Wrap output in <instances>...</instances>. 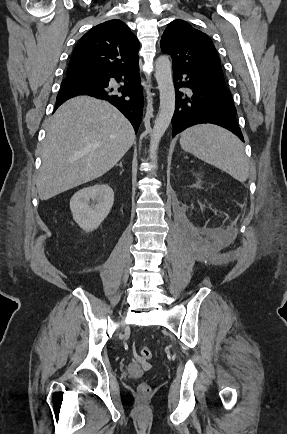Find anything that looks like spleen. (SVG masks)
<instances>
[{
  "instance_id": "obj_1",
  "label": "spleen",
  "mask_w": 287,
  "mask_h": 434,
  "mask_svg": "<svg viewBox=\"0 0 287 434\" xmlns=\"http://www.w3.org/2000/svg\"><path fill=\"white\" fill-rule=\"evenodd\" d=\"M180 145L202 161L228 173L239 182L249 177V162L242 141L217 125L202 124L186 129Z\"/></svg>"
}]
</instances>
